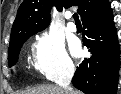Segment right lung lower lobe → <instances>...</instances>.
I'll use <instances>...</instances> for the list:
<instances>
[{
	"instance_id": "1",
	"label": "right lung lower lobe",
	"mask_w": 121,
	"mask_h": 94,
	"mask_svg": "<svg viewBox=\"0 0 121 94\" xmlns=\"http://www.w3.org/2000/svg\"><path fill=\"white\" fill-rule=\"evenodd\" d=\"M84 44L92 56L83 61L72 79L86 94H116L120 67V46L113 22L111 3L82 19Z\"/></svg>"
}]
</instances>
